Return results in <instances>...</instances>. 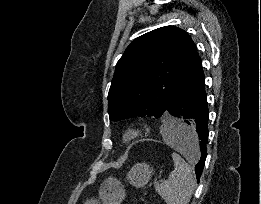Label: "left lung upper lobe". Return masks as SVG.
I'll return each instance as SVG.
<instances>
[{
  "label": "left lung upper lobe",
  "mask_w": 261,
  "mask_h": 204,
  "mask_svg": "<svg viewBox=\"0 0 261 204\" xmlns=\"http://www.w3.org/2000/svg\"><path fill=\"white\" fill-rule=\"evenodd\" d=\"M195 52L188 33L174 26L136 38L116 64L108 94L110 120L161 117Z\"/></svg>",
  "instance_id": "1"
}]
</instances>
